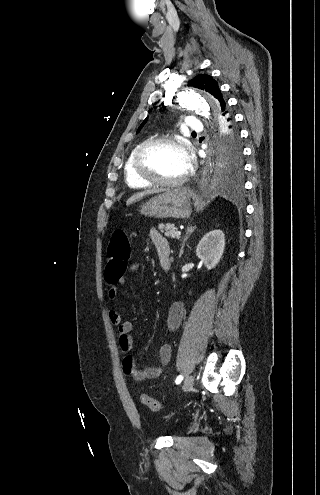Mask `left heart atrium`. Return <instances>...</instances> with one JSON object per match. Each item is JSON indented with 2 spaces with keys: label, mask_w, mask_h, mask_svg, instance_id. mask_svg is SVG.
I'll return each instance as SVG.
<instances>
[{
  "label": "left heart atrium",
  "mask_w": 320,
  "mask_h": 495,
  "mask_svg": "<svg viewBox=\"0 0 320 495\" xmlns=\"http://www.w3.org/2000/svg\"><path fill=\"white\" fill-rule=\"evenodd\" d=\"M187 161H188V166H189V164H190V160H189L188 158H187Z\"/></svg>",
  "instance_id": "left-heart-atrium-1"
}]
</instances>
